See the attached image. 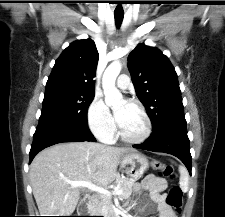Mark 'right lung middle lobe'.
<instances>
[{
	"label": "right lung middle lobe",
	"instance_id": "1",
	"mask_svg": "<svg viewBox=\"0 0 225 217\" xmlns=\"http://www.w3.org/2000/svg\"><path fill=\"white\" fill-rule=\"evenodd\" d=\"M93 98L94 94L70 92L45 93L40 118L86 125L88 106Z\"/></svg>",
	"mask_w": 225,
	"mask_h": 217
}]
</instances>
